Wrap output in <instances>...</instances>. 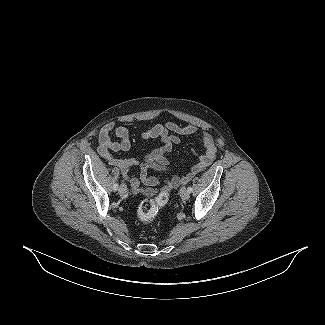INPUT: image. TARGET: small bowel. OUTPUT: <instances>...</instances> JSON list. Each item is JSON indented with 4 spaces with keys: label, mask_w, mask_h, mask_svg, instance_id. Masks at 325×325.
<instances>
[{
    "label": "small bowel",
    "mask_w": 325,
    "mask_h": 325,
    "mask_svg": "<svg viewBox=\"0 0 325 325\" xmlns=\"http://www.w3.org/2000/svg\"><path fill=\"white\" fill-rule=\"evenodd\" d=\"M197 132L195 125L189 124L180 126L175 122H166L157 124L152 128L141 133V138L144 140L159 139L163 145L160 148L146 153L141 160L134 157L117 158L112 152H126L131 147L129 130L124 126H117L114 122H109L104 125L100 131L98 140V153L107 159L111 164L121 170L123 177L129 182L134 193L142 192L140 181L147 185H155L156 180L148 177V169L159 168L163 170L169 169V161L166 155L170 153L175 145L180 143V136H190ZM114 134L118 140H113L111 134ZM202 142L205 147V152L198 156V162L194 164L189 172L184 176H174L170 185L174 188H179L181 184L187 183L195 174L208 167L215 158L216 147L214 138L208 132L202 133ZM140 166L139 177L129 175L130 168Z\"/></svg>",
    "instance_id": "small-bowel-1"
}]
</instances>
